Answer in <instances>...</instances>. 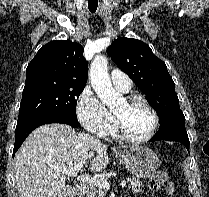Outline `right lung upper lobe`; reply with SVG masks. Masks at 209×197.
Returning a JSON list of instances; mask_svg holds the SVG:
<instances>
[{"label": "right lung upper lobe", "instance_id": "obj_1", "mask_svg": "<svg viewBox=\"0 0 209 197\" xmlns=\"http://www.w3.org/2000/svg\"><path fill=\"white\" fill-rule=\"evenodd\" d=\"M26 73L25 83L48 80L86 84L88 65L81 45L69 40H56L37 52Z\"/></svg>", "mask_w": 209, "mask_h": 197}]
</instances>
